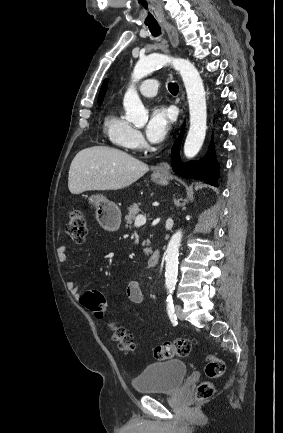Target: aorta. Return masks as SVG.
I'll return each instance as SVG.
<instances>
[{
  "label": "aorta",
  "mask_w": 283,
  "mask_h": 433,
  "mask_svg": "<svg viewBox=\"0 0 283 433\" xmlns=\"http://www.w3.org/2000/svg\"><path fill=\"white\" fill-rule=\"evenodd\" d=\"M167 64H171L180 73L186 88L190 127L184 144V154L187 158H192L197 155L205 139L207 110L202 79L198 70L190 61L157 53L141 58L134 67L132 84L126 91L123 100L126 119L136 126H143L147 123L148 111L142 104L134 83ZM181 239L182 232L178 230L171 237L167 246L165 270V285L167 288H173L176 284Z\"/></svg>",
  "instance_id": "obj_1"
}]
</instances>
